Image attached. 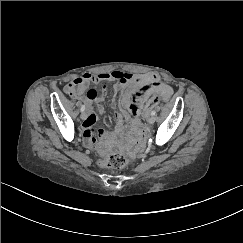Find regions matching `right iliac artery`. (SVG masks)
<instances>
[{
  "label": "right iliac artery",
  "mask_w": 243,
  "mask_h": 243,
  "mask_svg": "<svg viewBox=\"0 0 243 243\" xmlns=\"http://www.w3.org/2000/svg\"><path fill=\"white\" fill-rule=\"evenodd\" d=\"M84 110H85V106L82 105V106H81V112H83Z\"/></svg>",
  "instance_id": "right-iliac-artery-1"
}]
</instances>
